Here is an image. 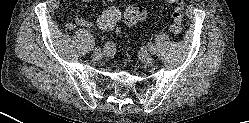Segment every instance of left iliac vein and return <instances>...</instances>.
Returning a JSON list of instances; mask_svg holds the SVG:
<instances>
[{
  "label": "left iliac vein",
  "instance_id": "1",
  "mask_svg": "<svg viewBox=\"0 0 249 123\" xmlns=\"http://www.w3.org/2000/svg\"><path fill=\"white\" fill-rule=\"evenodd\" d=\"M142 60L146 63V64H151L153 62V57L147 53V52H144L142 54Z\"/></svg>",
  "mask_w": 249,
  "mask_h": 123
}]
</instances>
